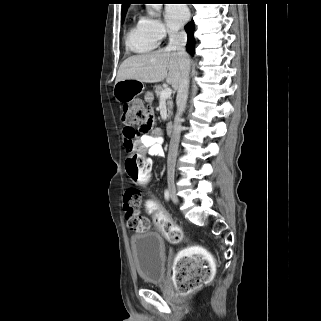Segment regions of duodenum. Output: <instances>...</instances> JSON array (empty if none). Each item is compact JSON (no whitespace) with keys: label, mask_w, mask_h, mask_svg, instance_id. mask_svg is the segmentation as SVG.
<instances>
[{"label":"duodenum","mask_w":321,"mask_h":321,"mask_svg":"<svg viewBox=\"0 0 321 321\" xmlns=\"http://www.w3.org/2000/svg\"><path fill=\"white\" fill-rule=\"evenodd\" d=\"M166 133L168 134V135H171L172 134V132H173V124H172V122H168L167 124H166Z\"/></svg>","instance_id":"1"}]
</instances>
